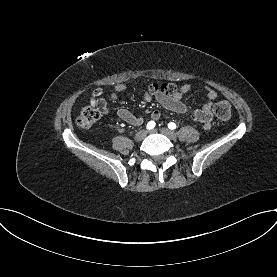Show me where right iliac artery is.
<instances>
[{"mask_svg": "<svg viewBox=\"0 0 277 277\" xmlns=\"http://www.w3.org/2000/svg\"><path fill=\"white\" fill-rule=\"evenodd\" d=\"M155 127V122L154 121H150V122H148V124H147V129H153Z\"/></svg>", "mask_w": 277, "mask_h": 277, "instance_id": "right-iliac-artery-1", "label": "right iliac artery"}]
</instances>
